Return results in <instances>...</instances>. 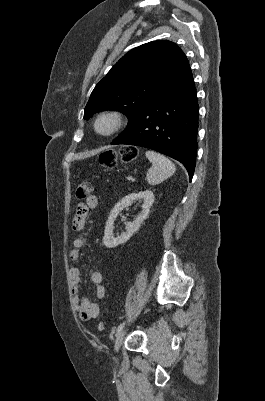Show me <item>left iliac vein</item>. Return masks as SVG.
<instances>
[{
    "mask_svg": "<svg viewBox=\"0 0 265 401\" xmlns=\"http://www.w3.org/2000/svg\"><path fill=\"white\" fill-rule=\"evenodd\" d=\"M126 332H127L126 330H122L118 333L117 338L115 340V344H114V349L116 352H118V350L120 349V347L124 341Z\"/></svg>",
    "mask_w": 265,
    "mask_h": 401,
    "instance_id": "4c4485c4",
    "label": "left iliac vein"
}]
</instances>
